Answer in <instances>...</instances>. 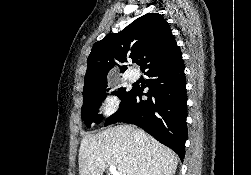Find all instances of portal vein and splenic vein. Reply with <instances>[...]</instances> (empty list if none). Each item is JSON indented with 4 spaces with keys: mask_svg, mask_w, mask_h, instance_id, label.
Listing matches in <instances>:
<instances>
[{
    "mask_svg": "<svg viewBox=\"0 0 251 175\" xmlns=\"http://www.w3.org/2000/svg\"><path fill=\"white\" fill-rule=\"evenodd\" d=\"M111 175H122L121 171H117L115 165H109Z\"/></svg>",
    "mask_w": 251,
    "mask_h": 175,
    "instance_id": "portal-vein-and-splenic-vein-1",
    "label": "portal vein and splenic vein"
}]
</instances>
